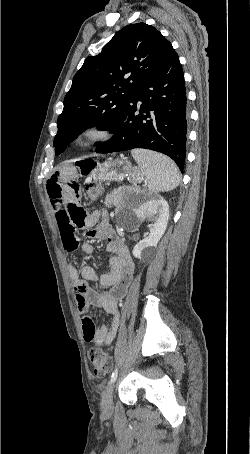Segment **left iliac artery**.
<instances>
[{
	"label": "left iliac artery",
	"instance_id": "left-iliac-artery-1",
	"mask_svg": "<svg viewBox=\"0 0 250 454\" xmlns=\"http://www.w3.org/2000/svg\"><path fill=\"white\" fill-rule=\"evenodd\" d=\"M117 375H118V369H117V367H116L115 370H114V372H113L112 375H111V379H110L109 383H113V382L116 380Z\"/></svg>",
	"mask_w": 250,
	"mask_h": 454
}]
</instances>
